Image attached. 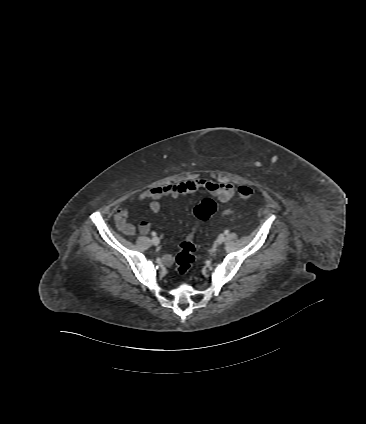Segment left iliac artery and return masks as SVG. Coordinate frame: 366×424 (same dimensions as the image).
Here are the masks:
<instances>
[{
    "instance_id": "obj_1",
    "label": "left iliac artery",
    "mask_w": 366,
    "mask_h": 424,
    "mask_svg": "<svg viewBox=\"0 0 366 424\" xmlns=\"http://www.w3.org/2000/svg\"><path fill=\"white\" fill-rule=\"evenodd\" d=\"M226 235L229 233V230H225V232H224Z\"/></svg>"
}]
</instances>
